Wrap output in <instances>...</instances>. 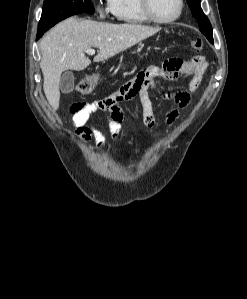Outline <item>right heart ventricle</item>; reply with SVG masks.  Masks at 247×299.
Instances as JSON below:
<instances>
[{"label":"right heart ventricle","mask_w":247,"mask_h":299,"mask_svg":"<svg viewBox=\"0 0 247 299\" xmlns=\"http://www.w3.org/2000/svg\"><path fill=\"white\" fill-rule=\"evenodd\" d=\"M109 10L120 22L146 24L150 20L142 11L140 0H109Z\"/></svg>","instance_id":"right-heart-ventricle-1"}]
</instances>
